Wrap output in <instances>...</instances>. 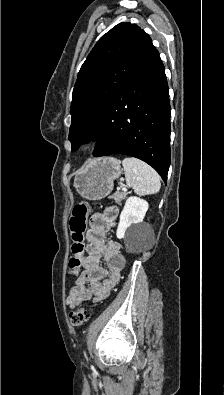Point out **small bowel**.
<instances>
[{
  "label": "small bowel",
  "instance_id": "obj_1",
  "mask_svg": "<svg viewBox=\"0 0 224 395\" xmlns=\"http://www.w3.org/2000/svg\"><path fill=\"white\" fill-rule=\"evenodd\" d=\"M116 207L107 208L103 214L94 215L86 234L87 256L82 258L83 270L77 276L66 302L70 307L84 300H103L120 279L125 266V259L120 252V245L115 240H105L107 231L116 223ZM105 262V267L101 262Z\"/></svg>",
  "mask_w": 224,
  "mask_h": 395
}]
</instances>
